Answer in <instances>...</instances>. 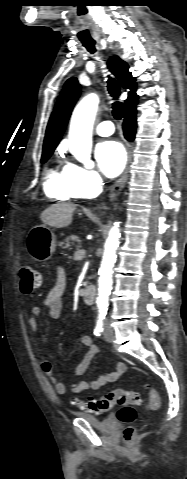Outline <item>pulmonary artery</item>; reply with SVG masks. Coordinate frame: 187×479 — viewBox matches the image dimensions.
<instances>
[{"label":"pulmonary artery","instance_id":"1","mask_svg":"<svg viewBox=\"0 0 187 479\" xmlns=\"http://www.w3.org/2000/svg\"><path fill=\"white\" fill-rule=\"evenodd\" d=\"M95 130L100 136H109L114 132V125L111 121H103L96 126Z\"/></svg>","mask_w":187,"mask_h":479}]
</instances>
